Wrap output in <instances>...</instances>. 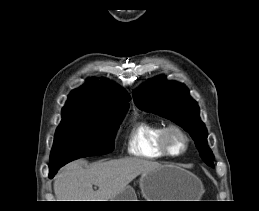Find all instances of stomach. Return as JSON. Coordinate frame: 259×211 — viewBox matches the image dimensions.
Instances as JSON below:
<instances>
[{"label": "stomach", "mask_w": 259, "mask_h": 211, "mask_svg": "<svg viewBox=\"0 0 259 211\" xmlns=\"http://www.w3.org/2000/svg\"><path fill=\"white\" fill-rule=\"evenodd\" d=\"M146 201H193L201 192V184L192 173L172 165L141 174L139 179ZM131 186H126L111 201H137Z\"/></svg>", "instance_id": "stomach-1"}]
</instances>
